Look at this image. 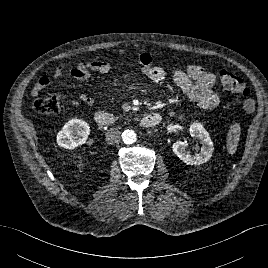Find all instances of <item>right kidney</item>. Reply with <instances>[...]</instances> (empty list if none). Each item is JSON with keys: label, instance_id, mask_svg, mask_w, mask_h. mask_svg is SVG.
I'll list each match as a JSON object with an SVG mask.
<instances>
[{"label": "right kidney", "instance_id": "obj_1", "mask_svg": "<svg viewBox=\"0 0 268 268\" xmlns=\"http://www.w3.org/2000/svg\"><path fill=\"white\" fill-rule=\"evenodd\" d=\"M90 134V127L87 122L81 119H71L57 134V144L65 149L73 150L84 144Z\"/></svg>", "mask_w": 268, "mask_h": 268}]
</instances>
